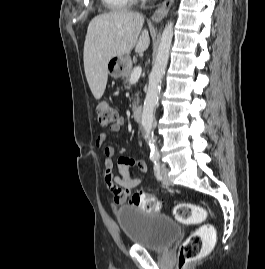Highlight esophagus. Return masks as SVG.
Listing matches in <instances>:
<instances>
[{
	"instance_id": "obj_1",
	"label": "esophagus",
	"mask_w": 265,
	"mask_h": 269,
	"mask_svg": "<svg viewBox=\"0 0 265 269\" xmlns=\"http://www.w3.org/2000/svg\"><path fill=\"white\" fill-rule=\"evenodd\" d=\"M173 2L174 0H165L152 15V20L155 22L161 21L168 14Z\"/></svg>"
}]
</instances>
